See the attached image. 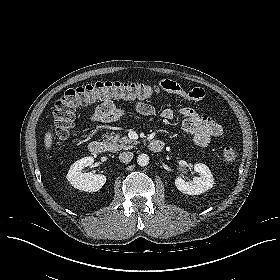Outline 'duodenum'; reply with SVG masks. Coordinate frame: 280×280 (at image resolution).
Instances as JSON below:
<instances>
[{"instance_id": "1", "label": "duodenum", "mask_w": 280, "mask_h": 280, "mask_svg": "<svg viewBox=\"0 0 280 280\" xmlns=\"http://www.w3.org/2000/svg\"><path fill=\"white\" fill-rule=\"evenodd\" d=\"M164 143L161 140H153L149 144V150L154 153H159L163 150ZM90 153L95 155H102L106 151V145L103 141L93 140L88 145Z\"/></svg>"}]
</instances>
